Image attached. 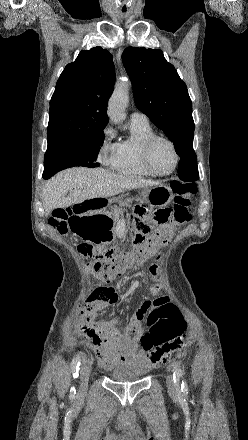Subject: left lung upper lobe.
<instances>
[{"instance_id":"left-lung-upper-lobe-1","label":"left lung upper lobe","mask_w":248,"mask_h":440,"mask_svg":"<svg viewBox=\"0 0 248 440\" xmlns=\"http://www.w3.org/2000/svg\"><path fill=\"white\" fill-rule=\"evenodd\" d=\"M122 60L131 78L137 108L173 142L181 158L180 179L197 180V159L193 150L195 125L185 83L161 50L127 47Z\"/></svg>"}]
</instances>
